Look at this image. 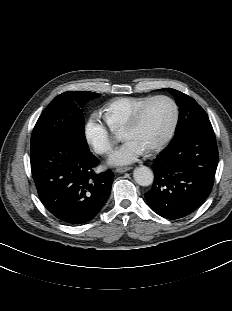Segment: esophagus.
<instances>
[{
    "mask_svg": "<svg viewBox=\"0 0 232 311\" xmlns=\"http://www.w3.org/2000/svg\"><path fill=\"white\" fill-rule=\"evenodd\" d=\"M131 169H132V167H119L116 169V172L117 173H124V172L131 170Z\"/></svg>",
    "mask_w": 232,
    "mask_h": 311,
    "instance_id": "34e87169",
    "label": "esophagus"
}]
</instances>
